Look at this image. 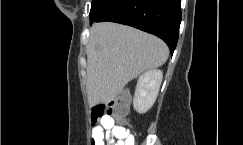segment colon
I'll return each instance as SVG.
<instances>
[{"instance_id": "1", "label": "colon", "mask_w": 243, "mask_h": 145, "mask_svg": "<svg viewBox=\"0 0 243 145\" xmlns=\"http://www.w3.org/2000/svg\"><path fill=\"white\" fill-rule=\"evenodd\" d=\"M129 95L121 93L113 102L108 105L98 104L92 109V121L95 123L103 117H112L117 120H123L129 107Z\"/></svg>"}]
</instances>
